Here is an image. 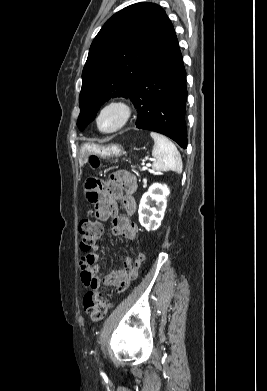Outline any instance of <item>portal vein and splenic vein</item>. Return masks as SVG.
I'll return each instance as SVG.
<instances>
[{"instance_id":"18ae733b","label":"portal vein and splenic vein","mask_w":267,"mask_h":391,"mask_svg":"<svg viewBox=\"0 0 267 391\" xmlns=\"http://www.w3.org/2000/svg\"><path fill=\"white\" fill-rule=\"evenodd\" d=\"M151 161H154V159H150ZM142 165H146L148 166L149 164H146V163H142Z\"/></svg>"}]
</instances>
